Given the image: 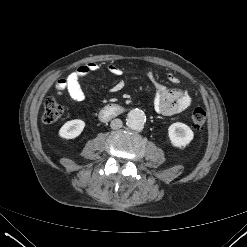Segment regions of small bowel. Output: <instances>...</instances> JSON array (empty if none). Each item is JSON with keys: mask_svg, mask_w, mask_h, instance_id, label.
Returning a JSON list of instances; mask_svg holds the SVG:
<instances>
[{"mask_svg": "<svg viewBox=\"0 0 247 247\" xmlns=\"http://www.w3.org/2000/svg\"><path fill=\"white\" fill-rule=\"evenodd\" d=\"M100 69L99 64L90 62L78 67L66 78L61 79L55 86V91L58 95L67 92L70 98L76 102H81L85 99L84 92L81 88L80 81L90 73L96 72ZM108 70L115 76H121L122 70L116 65H109ZM148 77L155 84L154 95V108L156 112L165 116H171L179 114L186 110L191 102V96L186 90L181 88H169L160 81L157 80L153 71H148ZM168 80L172 84H177V77L169 73ZM125 86V82L122 79L117 80L111 87V92L117 93L121 91Z\"/></svg>", "mask_w": 247, "mask_h": 247, "instance_id": "c3829d8e", "label": "small bowel"}]
</instances>
